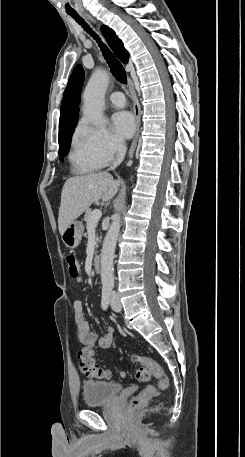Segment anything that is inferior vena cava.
Listing matches in <instances>:
<instances>
[{"instance_id":"obj_1","label":"inferior vena cava","mask_w":245,"mask_h":457,"mask_svg":"<svg viewBox=\"0 0 245 457\" xmlns=\"http://www.w3.org/2000/svg\"><path fill=\"white\" fill-rule=\"evenodd\" d=\"M115 148L117 150L116 160H115V162H113L112 166H110V168H108V170H114V168H116V166H118V164H120V162H122V160L124 158V154H126L127 148H126L125 142H124V140H122V138H116Z\"/></svg>"}]
</instances>
